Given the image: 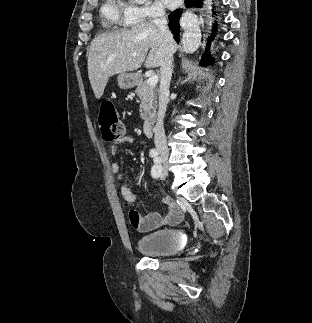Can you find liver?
I'll list each match as a JSON object with an SVG mask.
<instances>
[{
	"instance_id": "1",
	"label": "liver",
	"mask_w": 312,
	"mask_h": 323,
	"mask_svg": "<svg viewBox=\"0 0 312 323\" xmlns=\"http://www.w3.org/2000/svg\"><path fill=\"white\" fill-rule=\"evenodd\" d=\"M162 50L163 38L152 22H141L112 34L96 36L88 54V78L95 98L99 100L103 96L109 78L115 74L134 72L143 62L146 68H158Z\"/></svg>"
}]
</instances>
